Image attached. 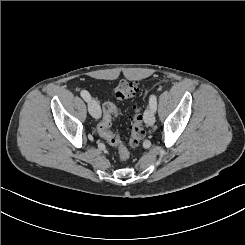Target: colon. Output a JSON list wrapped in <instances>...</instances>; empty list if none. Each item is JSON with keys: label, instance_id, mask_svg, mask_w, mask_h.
<instances>
[{"label": "colon", "instance_id": "5ec220e1", "mask_svg": "<svg viewBox=\"0 0 245 245\" xmlns=\"http://www.w3.org/2000/svg\"><path fill=\"white\" fill-rule=\"evenodd\" d=\"M137 92L135 83L122 80L114 89V95L119 100H131ZM102 118L98 124L99 134L111 145L118 148V156L121 161H126L129 156V147H136L145 136L143 118L139 110L133 107L130 117V138L126 143L118 132L111 130L113 118L118 115V109L112 102H105L102 105Z\"/></svg>", "mask_w": 245, "mask_h": 245}]
</instances>
